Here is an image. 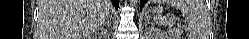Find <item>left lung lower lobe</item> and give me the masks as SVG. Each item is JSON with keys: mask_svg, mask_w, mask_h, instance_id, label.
<instances>
[{"mask_svg": "<svg viewBox=\"0 0 249 39\" xmlns=\"http://www.w3.org/2000/svg\"><path fill=\"white\" fill-rule=\"evenodd\" d=\"M147 0H140V9L143 7V5L145 4Z\"/></svg>", "mask_w": 249, "mask_h": 39, "instance_id": "obj_1", "label": "left lung lower lobe"}]
</instances>
